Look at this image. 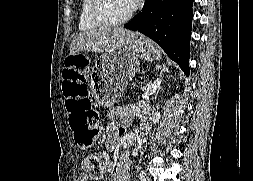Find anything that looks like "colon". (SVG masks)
Here are the masks:
<instances>
[{
    "mask_svg": "<svg viewBox=\"0 0 253 181\" xmlns=\"http://www.w3.org/2000/svg\"><path fill=\"white\" fill-rule=\"evenodd\" d=\"M78 56H70L63 72V92L66 99L69 127L81 147H89L100 134L99 115L93 109L85 83V74ZM108 162L102 150H92L83 157V168L89 175H98Z\"/></svg>",
    "mask_w": 253,
    "mask_h": 181,
    "instance_id": "5ec220e1",
    "label": "colon"
}]
</instances>
